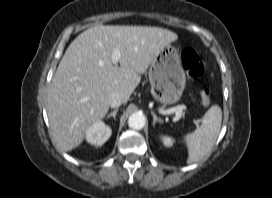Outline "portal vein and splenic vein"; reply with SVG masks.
<instances>
[{
	"label": "portal vein and splenic vein",
	"mask_w": 272,
	"mask_h": 198,
	"mask_svg": "<svg viewBox=\"0 0 272 198\" xmlns=\"http://www.w3.org/2000/svg\"><path fill=\"white\" fill-rule=\"evenodd\" d=\"M120 57H121L120 52L118 50H115L112 54V62L116 64L119 61ZM184 108H185L184 106H177L168 110H159V112L163 115H170L172 113H176L174 120H178L180 117L179 112L183 111ZM199 123H200V120H195V124L198 125Z\"/></svg>",
	"instance_id": "1"
}]
</instances>
